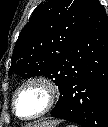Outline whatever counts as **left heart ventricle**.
<instances>
[{
	"instance_id": "left-heart-ventricle-1",
	"label": "left heart ventricle",
	"mask_w": 108,
	"mask_h": 127,
	"mask_svg": "<svg viewBox=\"0 0 108 127\" xmlns=\"http://www.w3.org/2000/svg\"><path fill=\"white\" fill-rule=\"evenodd\" d=\"M44 91L36 86L25 89L17 98V111L22 116H29L38 112L45 104Z\"/></svg>"
}]
</instances>
